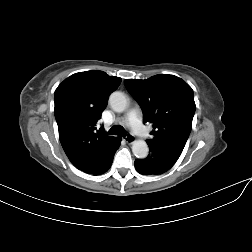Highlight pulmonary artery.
Masks as SVG:
<instances>
[{
    "instance_id": "1",
    "label": "pulmonary artery",
    "mask_w": 252,
    "mask_h": 252,
    "mask_svg": "<svg viewBox=\"0 0 252 252\" xmlns=\"http://www.w3.org/2000/svg\"><path fill=\"white\" fill-rule=\"evenodd\" d=\"M127 121L128 124L132 130V132L136 135L140 136H146L148 134L147 129L143 125L139 113L136 109H132L128 114H127Z\"/></svg>"
}]
</instances>
